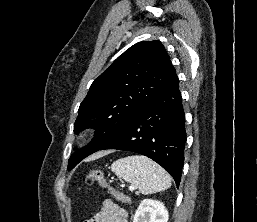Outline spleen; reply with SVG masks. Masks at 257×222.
Segmentation results:
<instances>
[{
  "label": "spleen",
  "mask_w": 257,
  "mask_h": 222,
  "mask_svg": "<svg viewBox=\"0 0 257 222\" xmlns=\"http://www.w3.org/2000/svg\"><path fill=\"white\" fill-rule=\"evenodd\" d=\"M112 171L125 181L138 187L142 194H152L168 189L171 178L168 173L151 159L134 155L113 162Z\"/></svg>",
  "instance_id": "1"
}]
</instances>
